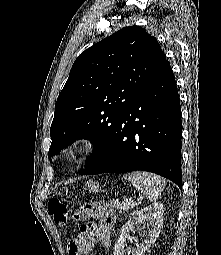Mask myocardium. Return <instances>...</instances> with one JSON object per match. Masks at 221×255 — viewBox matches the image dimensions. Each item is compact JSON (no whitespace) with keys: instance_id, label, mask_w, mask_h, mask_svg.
Here are the masks:
<instances>
[{"instance_id":"1","label":"myocardium","mask_w":221,"mask_h":255,"mask_svg":"<svg viewBox=\"0 0 221 255\" xmlns=\"http://www.w3.org/2000/svg\"><path fill=\"white\" fill-rule=\"evenodd\" d=\"M90 142L85 137L75 139L66 150V157L73 162L81 160L89 151Z\"/></svg>"}]
</instances>
